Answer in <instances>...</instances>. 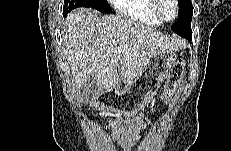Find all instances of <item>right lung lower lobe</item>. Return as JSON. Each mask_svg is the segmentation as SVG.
<instances>
[{"instance_id": "obj_1", "label": "right lung lower lobe", "mask_w": 231, "mask_h": 151, "mask_svg": "<svg viewBox=\"0 0 231 151\" xmlns=\"http://www.w3.org/2000/svg\"><path fill=\"white\" fill-rule=\"evenodd\" d=\"M68 13H69V11L63 10V16H64V17H66Z\"/></svg>"}]
</instances>
